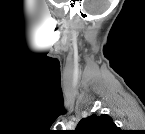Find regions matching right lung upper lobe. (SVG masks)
Returning a JSON list of instances; mask_svg holds the SVG:
<instances>
[{
    "label": "right lung upper lobe",
    "mask_w": 145,
    "mask_h": 134,
    "mask_svg": "<svg viewBox=\"0 0 145 134\" xmlns=\"http://www.w3.org/2000/svg\"><path fill=\"white\" fill-rule=\"evenodd\" d=\"M119 128L107 114H92L77 125L75 134H116Z\"/></svg>",
    "instance_id": "right-lung-upper-lobe-1"
}]
</instances>
